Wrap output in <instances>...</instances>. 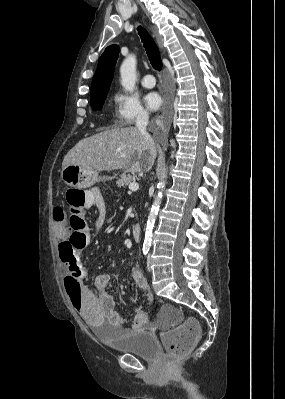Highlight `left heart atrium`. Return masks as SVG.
<instances>
[{"mask_svg":"<svg viewBox=\"0 0 285 399\" xmlns=\"http://www.w3.org/2000/svg\"><path fill=\"white\" fill-rule=\"evenodd\" d=\"M146 106L151 110H158L162 104V99L160 95L156 92L147 93L144 97Z\"/></svg>","mask_w":285,"mask_h":399,"instance_id":"obj_1","label":"left heart atrium"}]
</instances>
